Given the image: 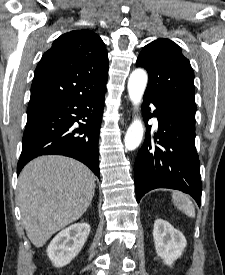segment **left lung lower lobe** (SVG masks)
Masks as SVG:
<instances>
[{
  "label": "left lung lower lobe",
  "instance_id": "0a47b994",
  "mask_svg": "<svg viewBox=\"0 0 225 275\" xmlns=\"http://www.w3.org/2000/svg\"><path fill=\"white\" fill-rule=\"evenodd\" d=\"M156 110L150 114V104ZM145 122L158 118V132L152 135L147 125L144 144L134 165L137 202L155 188H171L190 194L200 206L202 183L200 162L195 148V113H191L157 95L145 92Z\"/></svg>",
  "mask_w": 225,
  "mask_h": 275
}]
</instances>
